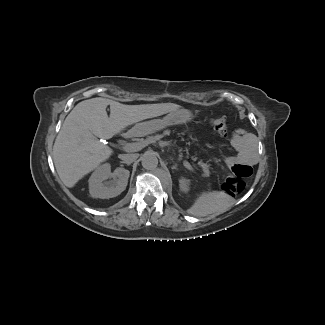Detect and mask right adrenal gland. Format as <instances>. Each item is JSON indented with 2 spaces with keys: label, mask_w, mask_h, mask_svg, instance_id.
Listing matches in <instances>:
<instances>
[{
  "label": "right adrenal gland",
  "mask_w": 325,
  "mask_h": 325,
  "mask_svg": "<svg viewBox=\"0 0 325 325\" xmlns=\"http://www.w3.org/2000/svg\"><path fill=\"white\" fill-rule=\"evenodd\" d=\"M120 163H121L122 165L125 164V162H123V161H121ZM126 164H127L128 166L130 165V163H126ZM122 165H121V166H122Z\"/></svg>",
  "instance_id": "obj_1"
}]
</instances>
